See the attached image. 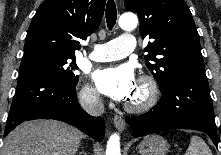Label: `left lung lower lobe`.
<instances>
[{"label":"left lung lower lobe","instance_id":"0a47b994","mask_svg":"<svg viewBox=\"0 0 221 155\" xmlns=\"http://www.w3.org/2000/svg\"><path fill=\"white\" fill-rule=\"evenodd\" d=\"M134 137L167 129H193L205 132L218 147L213 103L205 73L186 74L175 79L162 92L160 102L150 111L127 117Z\"/></svg>","mask_w":221,"mask_h":155}]
</instances>
